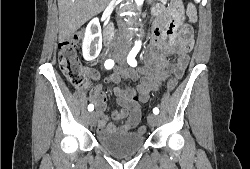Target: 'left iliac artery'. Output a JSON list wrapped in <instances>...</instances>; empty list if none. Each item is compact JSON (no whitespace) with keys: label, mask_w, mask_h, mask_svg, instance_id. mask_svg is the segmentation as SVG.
Segmentation results:
<instances>
[{"label":"left iliac artery","mask_w":250,"mask_h":169,"mask_svg":"<svg viewBox=\"0 0 250 169\" xmlns=\"http://www.w3.org/2000/svg\"><path fill=\"white\" fill-rule=\"evenodd\" d=\"M138 52H139V50H132V51H130V53H129L128 57H127V62L132 67H136L137 66V61H136L135 57H136V55H137ZM153 113L154 114H158L159 113V109L157 107H155L153 109Z\"/></svg>","instance_id":"left-iliac-artery-1"}]
</instances>
